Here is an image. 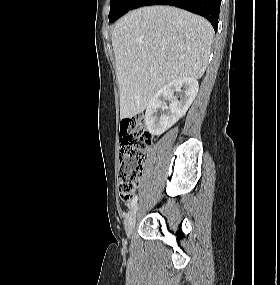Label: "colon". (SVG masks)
<instances>
[{
  "instance_id": "1",
  "label": "colon",
  "mask_w": 280,
  "mask_h": 285,
  "mask_svg": "<svg viewBox=\"0 0 280 285\" xmlns=\"http://www.w3.org/2000/svg\"><path fill=\"white\" fill-rule=\"evenodd\" d=\"M151 145V134L147 130L145 117L141 114L122 121L120 126V151L118 192L129 201L139 184L146 152Z\"/></svg>"
}]
</instances>
